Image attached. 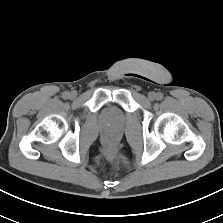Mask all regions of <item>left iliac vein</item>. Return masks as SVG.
I'll return each instance as SVG.
<instances>
[{"label":"left iliac vein","instance_id":"4c4485c4","mask_svg":"<svg viewBox=\"0 0 223 223\" xmlns=\"http://www.w3.org/2000/svg\"><path fill=\"white\" fill-rule=\"evenodd\" d=\"M156 98V94L154 92H149L148 93V99L153 101Z\"/></svg>","mask_w":223,"mask_h":223}]
</instances>
